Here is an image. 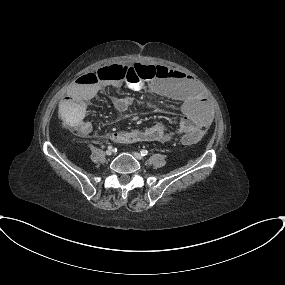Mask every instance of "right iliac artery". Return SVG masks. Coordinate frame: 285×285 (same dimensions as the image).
<instances>
[{
  "instance_id": "82829eb1",
  "label": "right iliac artery",
  "mask_w": 285,
  "mask_h": 285,
  "mask_svg": "<svg viewBox=\"0 0 285 285\" xmlns=\"http://www.w3.org/2000/svg\"><path fill=\"white\" fill-rule=\"evenodd\" d=\"M108 149H112V146H108Z\"/></svg>"
}]
</instances>
